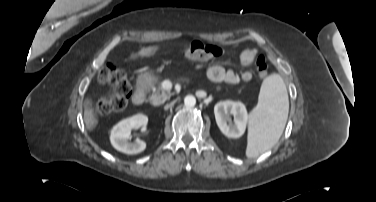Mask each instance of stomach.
Segmentation results:
<instances>
[{"instance_id":"obj_1","label":"stomach","mask_w":376,"mask_h":202,"mask_svg":"<svg viewBox=\"0 0 376 202\" xmlns=\"http://www.w3.org/2000/svg\"><path fill=\"white\" fill-rule=\"evenodd\" d=\"M140 77L142 78L143 81H148V80H151L154 77V75L152 72H145L141 74Z\"/></svg>"}]
</instances>
